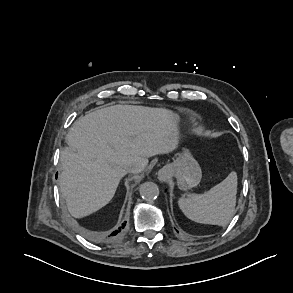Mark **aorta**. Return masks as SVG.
Here are the masks:
<instances>
[{
	"mask_svg": "<svg viewBox=\"0 0 293 293\" xmlns=\"http://www.w3.org/2000/svg\"><path fill=\"white\" fill-rule=\"evenodd\" d=\"M139 192L146 201H153L159 196V188L153 182H145L140 185Z\"/></svg>",
	"mask_w": 293,
	"mask_h": 293,
	"instance_id": "1",
	"label": "aorta"
}]
</instances>
